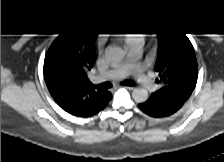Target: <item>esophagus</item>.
<instances>
[{
	"instance_id": "esophagus-1",
	"label": "esophagus",
	"mask_w": 224,
	"mask_h": 162,
	"mask_svg": "<svg viewBox=\"0 0 224 162\" xmlns=\"http://www.w3.org/2000/svg\"><path fill=\"white\" fill-rule=\"evenodd\" d=\"M123 87L128 89V90H133V87H131V86H123Z\"/></svg>"
}]
</instances>
